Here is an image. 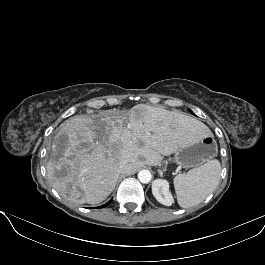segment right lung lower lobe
Segmentation results:
<instances>
[{"mask_svg":"<svg viewBox=\"0 0 265 265\" xmlns=\"http://www.w3.org/2000/svg\"><path fill=\"white\" fill-rule=\"evenodd\" d=\"M108 204H109V202H108V203H106L105 205L101 206L100 208H102V207H105V206H107Z\"/></svg>","mask_w":265,"mask_h":265,"instance_id":"right-lung-lower-lobe-1","label":"right lung lower lobe"}]
</instances>
